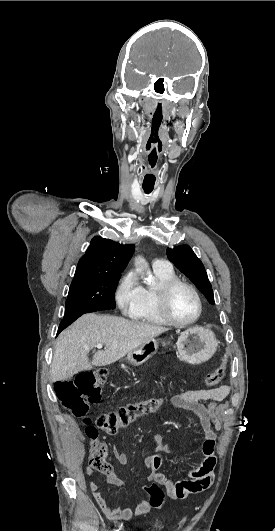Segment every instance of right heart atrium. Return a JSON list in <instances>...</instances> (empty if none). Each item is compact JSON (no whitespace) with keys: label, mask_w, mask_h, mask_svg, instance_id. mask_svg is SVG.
<instances>
[{"label":"right heart atrium","mask_w":275,"mask_h":531,"mask_svg":"<svg viewBox=\"0 0 275 531\" xmlns=\"http://www.w3.org/2000/svg\"><path fill=\"white\" fill-rule=\"evenodd\" d=\"M116 301L122 313L132 317L142 303V286L133 272L122 276L115 293Z\"/></svg>","instance_id":"obj_1"}]
</instances>
